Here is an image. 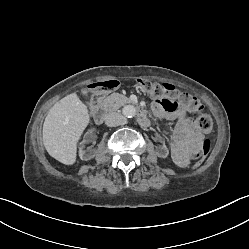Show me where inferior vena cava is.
Wrapping results in <instances>:
<instances>
[{
	"mask_svg": "<svg viewBox=\"0 0 249 249\" xmlns=\"http://www.w3.org/2000/svg\"><path fill=\"white\" fill-rule=\"evenodd\" d=\"M126 123V118L119 112H113L107 115L105 124L107 126H118Z\"/></svg>",
	"mask_w": 249,
	"mask_h": 249,
	"instance_id": "602c4592",
	"label": "inferior vena cava"
}]
</instances>
